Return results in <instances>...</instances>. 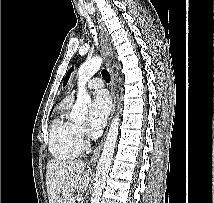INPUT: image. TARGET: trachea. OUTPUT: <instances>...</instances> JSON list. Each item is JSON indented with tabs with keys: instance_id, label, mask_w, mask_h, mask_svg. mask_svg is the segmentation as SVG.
Instances as JSON below:
<instances>
[{
	"instance_id": "3493384b",
	"label": "trachea",
	"mask_w": 214,
	"mask_h": 203,
	"mask_svg": "<svg viewBox=\"0 0 214 203\" xmlns=\"http://www.w3.org/2000/svg\"><path fill=\"white\" fill-rule=\"evenodd\" d=\"M102 76L107 83H110V75L106 69L102 70Z\"/></svg>"
}]
</instances>
